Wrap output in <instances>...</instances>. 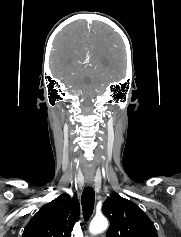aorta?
Instances as JSON below:
<instances>
[{
    "label": "aorta",
    "mask_w": 181,
    "mask_h": 237,
    "mask_svg": "<svg viewBox=\"0 0 181 237\" xmlns=\"http://www.w3.org/2000/svg\"><path fill=\"white\" fill-rule=\"evenodd\" d=\"M108 227V221L104 216H96L90 223L89 231L91 234H99Z\"/></svg>",
    "instance_id": "1"
}]
</instances>
